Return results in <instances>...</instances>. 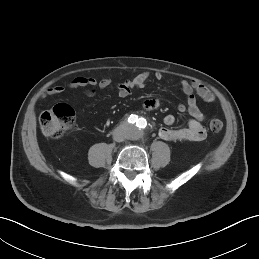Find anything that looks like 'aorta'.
<instances>
[{
	"label": "aorta",
	"instance_id": "aorta-1",
	"mask_svg": "<svg viewBox=\"0 0 259 259\" xmlns=\"http://www.w3.org/2000/svg\"><path fill=\"white\" fill-rule=\"evenodd\" d=\"M142 129H139V128H132L131 130V135L134 137V138H138L142 135Z\"/></svg>",
	"mask_w": 259,
	"mask_h": 259
}]
</instances>
